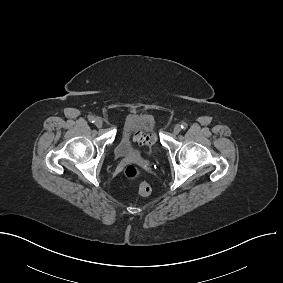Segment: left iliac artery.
Here are the masks:
<instances>
[{
	"label": "left iliac artery",
	"instance_id": "obj_1",
	"mask_svg": "<svg viewBox=\"0 0 283 283\" xmlns=\"http://www.w3.org/2000/svg\"><path fill=\"white\" fill-rule=\"evenodd\" d=\"M187 127H188L187 123L183 122V123L181 124V128H182V129L185 130Z\"/></svg>",
	"mask_w": 283,
	"mask_h": 283
}]
</instances>
